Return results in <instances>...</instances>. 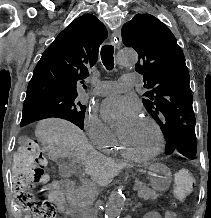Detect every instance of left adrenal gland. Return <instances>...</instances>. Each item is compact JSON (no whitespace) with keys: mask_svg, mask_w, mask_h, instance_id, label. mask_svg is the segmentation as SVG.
<instances>
[{"mask_svg":"<svg viewBox=\"0 0 211 218\" xmlns=\"http://www.w3.org/2000/svg\"><path fill=\"white\" fill-rule=\"evenodd\" d=\"M140 206H141V204H134L133 212H134V210L136 212V208H140Z\"/></svg>","mask_w":211,"mask_h":218,"instance_id":"a2214340","label":"left adrenal gland"}]
</instances>
